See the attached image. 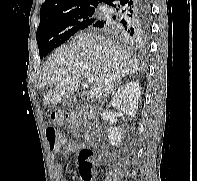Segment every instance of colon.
<instances>
[{"instance_id": "colon-1", "label": "colon", "mask_w": 197, "mask_h": 181, "mask_svg": "<svg viewBox=\"0 0 197 181\" xmlns=\"http://www.w3.org/2000/svg\"><path fill=\"white\" fill-rule=\"evenodd\" d=\"M51 120L64 125L75 126L76 117L67 113L56 112L51 115ZM50 149L58 151L63 143V138L58 134L54 126H48L45 131ZM79 172L84 181H92L94 175V157L89 149H82L78 154Z\"/></svg>"}]
</instances>
